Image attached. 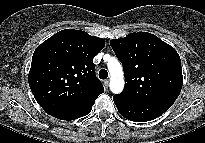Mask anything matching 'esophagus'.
I'll return each instance as SVG.
<instances>
[{
    "mask_svg": "<svg viewBox=\"0 0 205 143\" xmlns=\"http://www.w3.org/2000/svg\"><path fill=\"white\" fill-rule=\"evenodd\" d=\"M104 85L106 86V87H108V85H109V80L107 79V80H104Z\"/></svg>",
    "mask_w": 205,
    "mask_h": 143,
    "instance_id": "esophagus-1",
    "label": "esophagus"
}]
</instances>
